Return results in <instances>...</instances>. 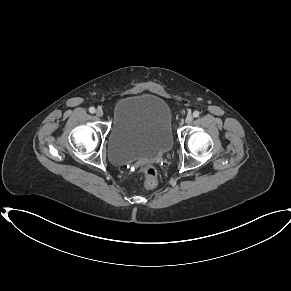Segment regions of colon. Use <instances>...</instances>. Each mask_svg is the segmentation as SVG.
Instances as JSON below:
<instances>
[{"label": "colon", "instance_id": "obj_1", "mask_svg": "<svg viewBox=\"0 0 291 291\" xmlns=\"http://www.w3.org/2000/svg\"><path fill=\"white\" fill-rule=\"evenodd\" d=\"M140 173L143 176L146 187H154L158 183V172L154 167L143 166L140 168Z\"/></svg>", "mask_w": 291, "mask_h": 291}]
</instances>
